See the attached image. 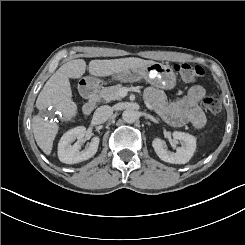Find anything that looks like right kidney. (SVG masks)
I'll return each mask as SVG.
<instances>
[{"mask_svg":"<svg viewBox=\"0 0 245 245\" xmlns=\"http://www.w3.org/2000/svg\"><path fill=\"white\" fill-rule=\"evenodd\" d=\"M85 133L84 126H76L62 135L57 149L58 158L61 162L66 164L78 163L89 159L96 153L99 144L98 138H93L91 142H88L82 151H80V141L72 145L76 138L82 139Z\"/></svg>","mask_w":245,"mask_h":245,"instance_id":"right-kidney-1","label":"right kidney"}]
</instances>
